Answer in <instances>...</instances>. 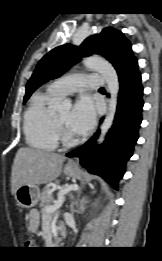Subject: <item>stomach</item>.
<instances>
[{"label": "stomach", "instance_id": "0dacf381", "mask_svg": "<svg viewBox=\"0 0 162 261\" xmlns=\"http://www.w3.org/2000/svg\"><path fill=\"white\" fill-rule=\"evenodd\" d=\"M63 171L70 177L79 178L81 176V170L77 165L67 164ZM14 197L21 207L29 209L38 203L40 189L37 185L24 184L16 189Z\"/></svg>", "mask_w": 162, "mask_h": 261}]
</instances>
